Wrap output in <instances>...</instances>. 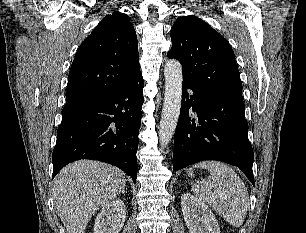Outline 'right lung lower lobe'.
I'll return each mask as SVG.
<instances>
[{
	"label": "right lung lower lobe",
	"instance_id": "98d812e1",
	"mask_svg": "<svg viewBox=\"0 0 306 233\" xmlns=\"http://www.w3.org/2000/svg\"><path fill=\"white\" fill-rule=\"evenodd\" d=\"M143 87L140 73L108 97L62 110L52 179L65 165L91 159L117 166L136 182Z\"/></svg>",
	"mask_w": 306,
	"mask_h": 233
}]
</instances>
